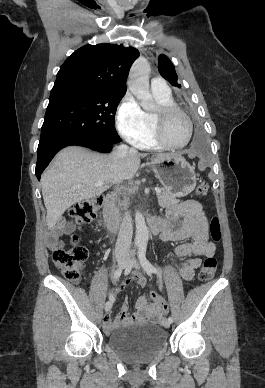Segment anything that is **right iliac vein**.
<instances>
[{"label": "right iliac vein", "mask_w": 265, "mask_h": 388, "mask_svg": "<svg viewBox=\"0 0 265 388\" xmlns=\"http://www.w3.org/2000/svg\"><path fill=\"white\" fill-rule=\"evenodd\" d=\"M116 260H117V264H118V266L120 268H125L126 267L127 259H126L125 256H118L116 258ZM111 307H112V302L108 301V302L105 303L104 309H105L106 312H108L111 309Z\"/></svg>", "instance_id": "right-iliac-vein-1"}]
</instances>
